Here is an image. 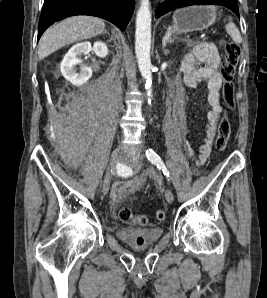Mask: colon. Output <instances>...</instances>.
<instances>
[{"label":"colon","mask_w":267,"mask_h":298,"mask_svg":"<svg viewBox=\"0 0 267 298\" xmlns=\"http://www.w3.org/2000/svg\"><path fill=\"white\" fill-rule=\"evenodd\" d=\"M224 47V63L221 68V74L223 77V97L226 105L232 107L234 104V85L233 78L235 75L236 66L240 58V47L234 42H226ZM231 134L230 121L226 114L222 117L216 138V148L219 151H224L227 147ZM165 211L157 210L155 212V218L158 221L165 219ZM119 219L126 224L145 226L149 220L146 216L135 215L133 211L128 207H123L119 211Z\"/></svg>","instance_id":"5ec220e1"}]
</instances>
